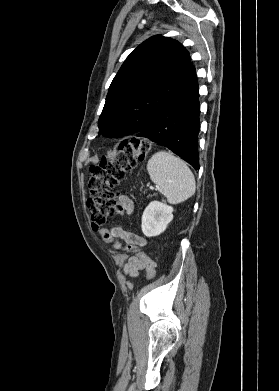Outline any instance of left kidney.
Masks as SVG:
<instances>
[{
    "instance_id": "left-kidney-1",
    "label": "left kidney",
    "mask_w": 279,
    "mask_h": 391,
    "mask_svg": "<svg viewBox=\"0 0 279 391\" xmlns=\"http://www.w3.org/2000/svg\"><path fill=\"white\" fill-rule=\"evenodd\" d=\"M173 207L152 201L142 215V232L147 237L160 235L173 219Z\"/></svg>"
}]
</instances>
